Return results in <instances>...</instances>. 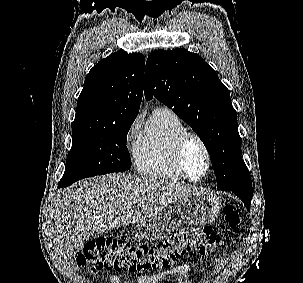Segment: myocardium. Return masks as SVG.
<instances>
[{"mask_svg":"<svg viewBox=\"0 0 303 283\" xmlns=\"http://www.w3.org/2000/svg\"><path fill=\"white\" fill-rule=\"evenodd\" d=\"M190 140H195L200 147L202 148L205 158H206V170L204 172V174L199 177V178H193L192 176H190L186 165H185V161H184V151H185V147L187 145V143ZM174 156H175V161L177 164V167L179 168L180 172L184 175V177L191 181V182H200L203 179H205L207 177V175L209 174L211 167H212V157H211V153L210 150L206 144V142L203 140V138L198 135L195 132L192 131H184L176 140L175 142V146H174Z\"/></svg>","mask_w":303,"mask_h":283,"instance_id":"1","label":"myocardium"}]
</instances>
